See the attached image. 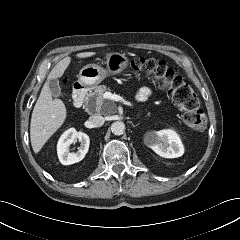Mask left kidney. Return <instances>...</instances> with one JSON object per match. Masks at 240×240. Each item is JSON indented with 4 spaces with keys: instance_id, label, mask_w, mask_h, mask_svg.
<instances>
[{
    "instance_id": "left-kidney-1",
    "label": "left kidney",
    "mask_w": 240,
    "mask_h": 240,
    "mask_svg": "<svg viewBox=\"0 0 240 240\" xmlns=\"http://www.w3.org/2000/svg\"><path fill=\"white\" fill-rule=\"evenodd\" d=\"M145 141L155 153L164 158H177L184 153L179 136L171 129L149 132Z\"/></svg>"
}]
</instances>
